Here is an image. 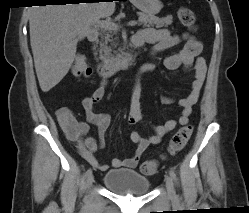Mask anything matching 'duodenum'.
<instances>
[{"mask_svg": "<svg viewBox=\"0 0 249 213\" xmlns=\"http://www.w3.org/2000/svg\"><path fill=\"white\" fill-rule=\"evenodd\" d=\"M99 38V32L92 30L88 34V39L92 42H96ZM132 44L134 45L133 41ZM132 64V56L129 54L122 55L115 61L102 63L98 66L99 75L103 78L112 76L114 73L121 69H126Z\"/></svg>", "mask_w": 249, "mask_h": 213, "instance_id": "obj_1", "label": "duodenum"}]
</instances>
